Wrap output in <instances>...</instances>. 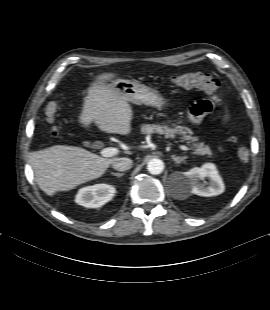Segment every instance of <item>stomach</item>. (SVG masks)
<instances>
[{
	"instance_id": "1",
	"label": "stomach",
	"mask_w": 270,
	"mask_h": 310,
	"mask_svg": "<svg viewBox=\"0 0 270 310\" xmlns=\"http://www.w3.org/2000/svg\"><path fill=\"white\" fill-rule=\"evenodd\" d=\"M112 89L125 96L128 102L146 103L157 108L164 105V99L157 90L135 81L116 80L112 84Z\"/></svg>"
}]
</instances>
